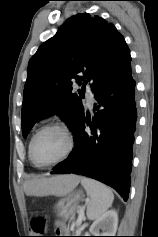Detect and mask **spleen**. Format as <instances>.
Returning <instances> with one entry per match:
<instances>
[{
	"label": "spleen",
	"instance_id": "obj_1",
	"mask_svg": "<svg viewBox=\"0 0 158 237\" xmlns=\"http://www.w3.org/2000/svg\"><path fill=\"white\" fill-rule=\"evenodd\" d=\"M81 184L90 200L87 203V217L97 220L111 207L114 195L112 190L97 180L82 177Z\"/></svg>",
	"mask_w": 158,
	"mask_h": 237
}]
</instances>
